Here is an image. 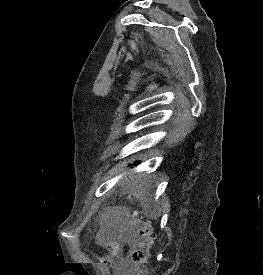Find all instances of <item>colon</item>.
I'll return each mask as SVG.
<instances>
[{"label":"colon","mask_w":263,"mask_h":275,"mask_svg":"<svg viewBox=\"0 0 263 275\" xmlns=\"http://www.w3.org/2000/svg\"><path fill=\"white\" fill-rule=\"evenodd\" d=\"M129 236L131 241L130 260L123 269L122 275H146L150 250L153 245L151 226L133 215L129 221ZM106 255L102 257L104 263H111L119 252L116 243L106 246Z\"/></svg>","instance_id":"1"}]
</instances>
